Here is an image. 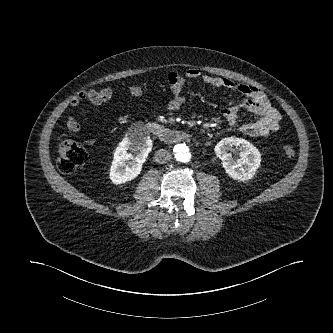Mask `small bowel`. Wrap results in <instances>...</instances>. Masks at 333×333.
I'll list each match as a JSON object with an SVG mask.
<instances>
[{
	"label": "small bowel",
	"instance_id": "1",
	"mask_svg": "<svg viewBox=\"0 0 333 333\" xmlns=\"http://www.w3.org/2000/svg\"><path fill=\"white\" fill-rule=\"evenodd\" d=\"M192 79H200L216 89L237 91L246 96V99L232 103L221 110L222 117L231 125L238 124L239 113L242 109L258 116L254 121H247L238 125L243 134L250 137H265L279 129L281 115L270 104L262 90L228 78L207 75L197 68H190L183 75L169 74L168 82L171 91V98L167 103L169 109L178 110L187 102V97L182 96L181 92L187 82ZM128 92L134 97H139L142 94V90L138 86H130ZM112 96L113 91L110 88L82 91L70 100V106H77L83 101L100 105L110 100ZM66 126L71 132H78L81 128L80 123L73 116L67 118Z\"/></svg>",
	"mask_w": 333,
	"mask_h": 333
}]
</instances>
